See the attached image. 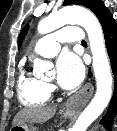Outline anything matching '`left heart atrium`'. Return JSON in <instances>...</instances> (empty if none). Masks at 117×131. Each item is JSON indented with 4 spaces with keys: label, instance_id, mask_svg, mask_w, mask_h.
Segmentation results:
<instances>
[{
    "label": "left heart atrium",
    "instance_id": "39dd6f15",
    "mask_svg": "<svg viewBox=\"0 0 117 131\" xmlns=\"http://www.w3.org/2000/svg\"><path fill=\"white\" fill-rule=\"evenodd\" d=\"M57 81L66 89L77 87L84 78L81 59L72 52L63 53L57 61Z\"/></svg>",
    "mask_w": 117,
    "mask_h": 131
}]
</instances>
